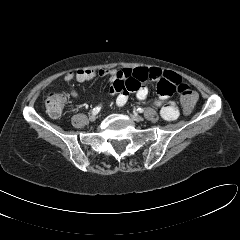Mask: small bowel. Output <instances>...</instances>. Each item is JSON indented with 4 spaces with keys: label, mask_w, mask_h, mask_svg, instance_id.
<instances>
[{
    "label": "small bowel",
    "mask_w": 240,
    "mask_h": 240,
    "mask_svg": "<svg viewBox=\"0 0 240 240\" xmlns=\"http://www.w3.org/2000/svg\"><path fill=\"white\" fill-rule=\"evenodd\" d=\"M97 75L109 76V89L116 94V105L123 107L130 93H135L138 100L147 98L149 89L147 81L157 82L158 98L155 105L159 108L160 116L165 121H173L179 116V109L169 98L175 89L182 83V77L175 72L164 71L159 68H135L116 70L80 69L65 74L64 81L69 86L70 95L77 98L79 94L71 87V82H85L94 79Z\"/></svg>",
    "instance_id": "1"
}]
</instances>
